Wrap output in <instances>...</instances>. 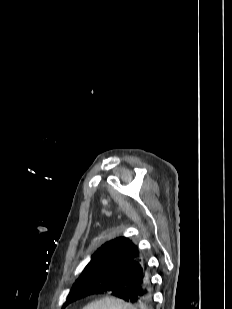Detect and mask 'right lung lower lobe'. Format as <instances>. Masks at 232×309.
<instances>
[{"label":"right lung lower lobe","mask_w":232,"mask_h":309,"mask_svg":"<svg viewBox=\"0 0 232 309\" xmlns=\"http://www.w3.org/2000/svg\"><path fill=\"white\" fill-rule=\"evenodd\" d=\"M117 273L129 274L131 279L117 280L114 283H104L94 287L89 286L86 296L110 292L112 295L134 304L136 309H152V286L146 263L143 261L123 263L118 266Z\"/></svg>","instance_id":"right-lung-lower-lobe-1"}]
</instances>
